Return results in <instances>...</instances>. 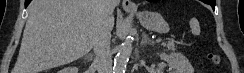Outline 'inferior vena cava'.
<instances>
[{
	"instance_id": "obj_1",
	"label": "inferior vena cava",
	"mask_w": 244,
	"mask_h": 73,
	"mask_svg": "<svg viewBox=\"0 0 244 73\" xmlns=\"http://www.w3.org/2000/svg\"><path fill=\"white\" fill-rule=\"evenodd\" d=\"M118 0H101V19L97 34L94 38V64L98 73H112V54L110 50L111 29L108 23Z\"/></svg>"
}]
</instances>
